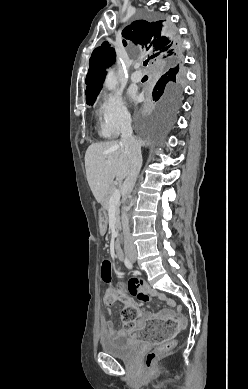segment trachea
Listing matches in <instances>:
<instances>
[{
  "mask_svg": "<svg viewBox=\"0 0 248 389\" xmlns=\"http://www.w3.org/2000/svg\"><path fill=\"white\" fill-rule=\"evenodd\" d=\"M147 64H148V61H147V60L143 62V65H144V66H146Z\"/></svg>",
  "mask_w": 248,
  "mask_h": 389,
  "instance_id": "3493384b",
  "label": "trachea"
}]
</instances>
